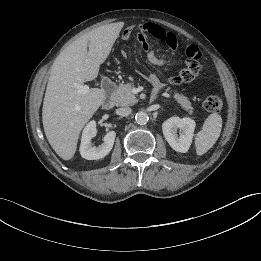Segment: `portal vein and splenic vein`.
Returning a JSON list of instances; mask_svg holds the SVG:
<instances>
[{"label":"portal vein and splenic vein","instance_id":"18ae733b","mask_svg":"<svg viewBox=\"0 0 261 261\" xmlns=\"http://www.w3.org/2000/svg\"><path fill=\"white\" fill-rule=\"evenodd\" d=\"M75 86L80 94H86L89 91V86L87 85L76 84Z\"/></svg>","mask_w":261,"mask_h":261}]
</instances>
